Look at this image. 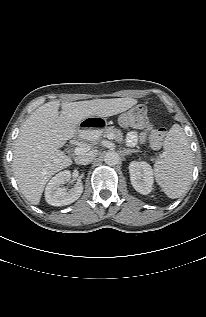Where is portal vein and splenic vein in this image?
I'll return each mask as SVG.
<instances>
[{"mask_svg": "<svg viewBox=\"0 0 206 317\" xmlns=\"http://www.w3.org/2000/svg\"><path fill=\"white\" fill-rule=\"evenodd\" d=\"M108 139H114V136L112 134L107 136ZM89 149L88 146H78L75 148V153L77 155L82 154L83 152H86Z\"/></svg>", "mask_w": 206, "mask_h": 317, "instance_id": "obj_1", "label": "portal vein and splenic vein"}]
</instances>
